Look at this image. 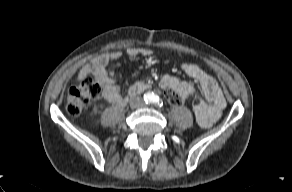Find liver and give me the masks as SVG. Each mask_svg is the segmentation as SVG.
<instances>
[{"label": "liver", "instance_id": "liver-1", "mask_svg": "<svg viewBox=\"0 0 292 192\" xmlns=\"http://www.w3.org/2000/svg\"><path fill=\"white\" fill-rule=\"evenodd\" d=\"M90 68V64H86L85 66H83V68L78 73L77 80L82 81L83 79H85L90 72Z\"/></svg>", "mask_w": 292, "mask_h": 192}]
</instances>
